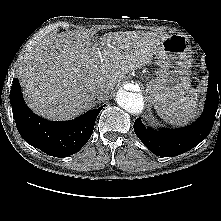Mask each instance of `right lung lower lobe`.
Returning <instances> with one entry per match:
<instances>
[{
    "instance_id": "obj_1",
    "label": "right lung lower lobe",
    "mask_w": 221,
    "mask_h": 221,
    "mask_svg": "<svg viewBox=\"0 0 221 221\" xmlns=\"http://www.w3.org/2000/svg\"><path fill=\"white\" fill-rule=\"evenodd\" d=\"M12 112L21 137L30 145L54 157L78 152L93 133L100 107L70 121H48L33 113L25 104L18 79L10 92Z\"/></svg>"
}]
</instances>
